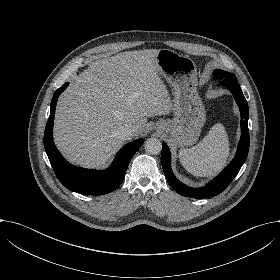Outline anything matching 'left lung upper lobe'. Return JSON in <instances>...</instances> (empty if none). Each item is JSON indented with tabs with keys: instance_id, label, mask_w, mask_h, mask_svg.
<instances>
[{
	"instance_id": "5c2ea615",
	"label": "left lung upper lobe",
	"mask_w": 280,
	"mask_h": 280,
	"mask_svg": "<svg viewBox=\"0 0 280 280\" xmlns=\"http://www.w3.org/2000/svg\"><path fill=\"white\" fill-rule=\"evenodd\" d=\"M213 77L215 79H220V80L230 78L235 81L237 79L232 73H229V72H226L223 70H215L213 73Z\"/></svg>"
}]
</instances>
